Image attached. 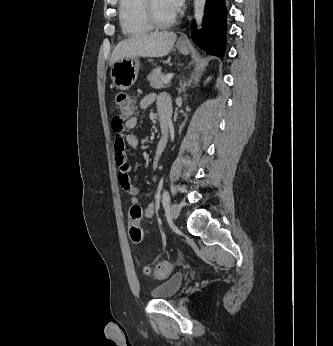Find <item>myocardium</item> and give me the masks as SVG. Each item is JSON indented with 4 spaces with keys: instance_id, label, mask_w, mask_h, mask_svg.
<instances>
[{
    "instance_id": "f54148a6",
    "label": "myocardium",
    "mask_w": 333,
    "mask_h": 346,
    "mask_svg": "<svg viewBox=\"0 0 333 346\" xmlns=\"http://www.w3.org/2000/svg\"><path fill=\"white\" fill-rule=\"evenodd\" d=\"M144 6H145V12L149 22L151 23L152 26L156 28H167L171 26L176 20L175 15H172L171 17L167 19H162L158 17L155 11L153 0H144Z\"/></svg>"
}]
</instances>
